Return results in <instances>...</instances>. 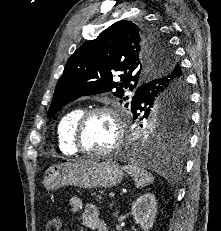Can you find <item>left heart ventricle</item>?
<instances>
[{"label":"left heart ventricle","mask_w":221,"mask_h":231,"mask_svg":"<svg viewBox=\"0 0 221 231\" xmlns=\"http://www.w3.org/2000/svg\"><path fill=\"white\" fill-rule=\"evenodd\" d=\"M115 140V128L106 114L90 117L82 130V145L89 151H101L110 147Z\"/></svg>","instance_id":"b2bd125f"}]
</instances>
